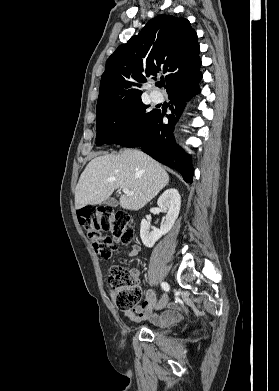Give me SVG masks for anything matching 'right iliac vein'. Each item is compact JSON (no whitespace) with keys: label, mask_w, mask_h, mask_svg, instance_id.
I'll use <instances>...</instances> for the list:
<instances>
[{"label":"right iliac vein","mask_w":279,"mask_h":391,"mask_svg":"<svg viewBox=\"0 0 279 391\" xmlns=\"http://www.w3.org/2000/svg\"><path fill=\"white\" fill-rule=\"evenodd\" d=\"M167 303H168V295H167V294H164V295L161 297L159 303L157 304L156 309H162V308H164V307L166 306Z\"/></svg>","instance_id":"63e3f726"}]
</instances>
